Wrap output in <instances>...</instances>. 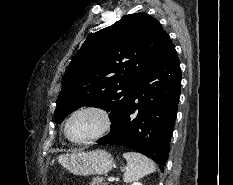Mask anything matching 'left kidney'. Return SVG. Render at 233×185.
Returning <instances> with one entry per match:
<instances>
[{
    "instance_id": "5707ae66",
    "label": "left kidney",
    "mask_w": 233,
    "mask_h": 185,
    "mask_svg": "<svg viewBox=\"0 0 233 185\" xmlns=\"http://www.w3.org/2000/svg\"><path fill=\"white\" fill-rule=\"evenodd\" d=\"M132 185H142L140 182H134Z\"/></svg>"
}]
</instances>
